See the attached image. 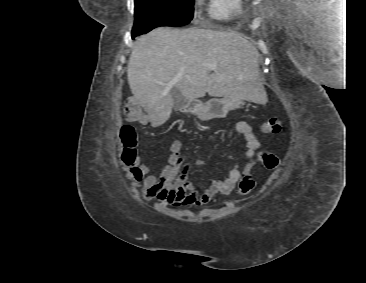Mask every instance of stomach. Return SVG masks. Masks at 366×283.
I'll list each match as a JSON object with an SVG mask.
<instances>
[{"label":"stomach","mask_w":366,"mask_h":283,"mask_svg":"<svg viewBox=\"0 0 366 283\" xmlns=\"http://www.w3.org/2000/svg\"><path fill=\"white\" fill-rule=\"evenodd\" d=\"M245 99L224 96L223 98H212L206 103L194 100L186 102L182 110H190L201 121H207L213 118H223L228 111L240 105H244Z\"/></svg>","instance_id":"obj_1"}]
</instances>
